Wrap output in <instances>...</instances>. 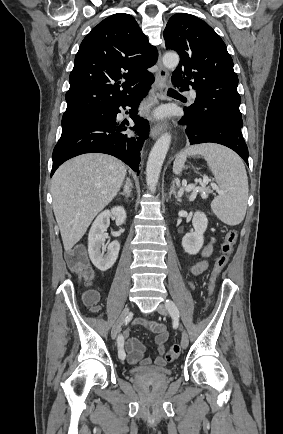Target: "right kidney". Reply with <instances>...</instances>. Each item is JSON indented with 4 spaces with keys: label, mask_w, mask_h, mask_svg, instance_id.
<instances>
[{
    "label": "right kidney",
    "mask_w": 283,
    "mask_h": 434,
    "mask_svg": "<svg viewBox=\"0 0 283 434\" xmlns=\"http://www.w3.org/2000/svg\"><path fill=\"white\" fill-rule=\"evenodd\" d=\"M112 215L116 218V225H122L126 220V212L122 206L105 210L97 216L88 235L89 257L94 266L103 272L114 265L120 250L118 241L105 244L108 238L106 230L110 225Z\"/></svg>",
    "instance_id": "obj_1"
}]
</instances>
